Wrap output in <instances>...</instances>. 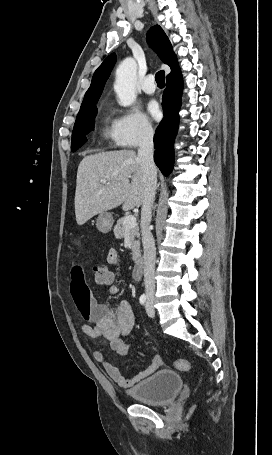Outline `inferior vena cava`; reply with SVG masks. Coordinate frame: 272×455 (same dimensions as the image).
<instances>
[{"label": "inferior vena cava", "instance_id": "inferior-vena-cava-1", "mask_svg": "<svg viewBox=\"0 0 272 455\" xmlns=\"http://www.w3.org/2000/svg\"><path fill=\"white\" fill-rule=\"evenodd\" d=\"M153 135L151 126L143 128L137 155L141 163L145 182V195L141 209V235L144 250V284L147 298H153L155 294L156 249L149 229L157 184V170L153 160Z\"/></svg>", "mask_w": 272, "mask_h": 455}]
</instances>
